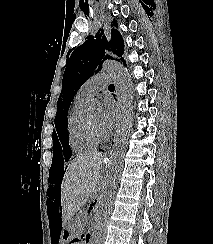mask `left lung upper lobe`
Masks as SVG:
<instances>
[{"label": "left lung upper lobe", "mask_w": 213, "mask_h": 244, "mask_svg": "<svg viewBox=\"0 0 213 244\" xmlns=\"http://www.w3.org/2000/svg\"><path fill=\"white\" fill-rule=\"evenodd\" d=\"M111 27L110 41L107 40L103 30L99 29L95 36H88L83 44L69 51L62 80V92L57 103L56 130L58 127L66 129L68 109L82 84L100 71L106 59L122 56L124 41L115 22ZM106 50L111 52V55L106 53ZM122 61L125 64L123 59Z\"/></svg>", "instance_id": "1"}]
</instances>
